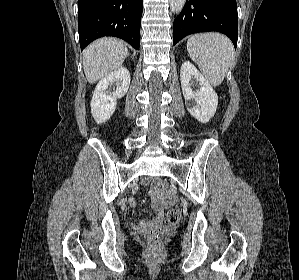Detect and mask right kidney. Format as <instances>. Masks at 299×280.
<instances>
[{
  "mask_svg": "<svg viewBox=\"0 0 299 280\" xmlns=\"http://www.w3.org/2000/svg\"><path fill=\"white\" fill-rule=\"evenodd\" d=\"M116 83V91H108V87ZM130 85V73L128 69L120 67L102 78L97 84L92 100L91 113L94 120L104 123L115 111L117 99L122 98L128 91Z\"/></svg>",
  "mask_w": 299,
  "mask_h": 280,
  "instance_id": "ca27d5eb",
  "label": "right kidney"
}]
</instances>
